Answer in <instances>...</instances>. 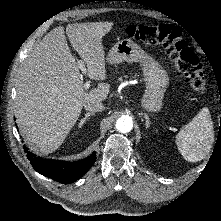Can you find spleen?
<instances>
[{
    "label": "spleen",
    "mask_w": 221,
    "mask_h": 221,
    "mask_svg": "<svg viewBox=\"0 0 221 221\" xmlns=\"http://www.w3.org/2000/svg\"><path fill=\"white\" fill-rule=\"evenodd\" d=\"M213 143V122L207 107L202 108L176 135L178 149L189 162H197L205 158Z\"/></svg>",
    "instance_id": "obj_1"
}]
</instances>
